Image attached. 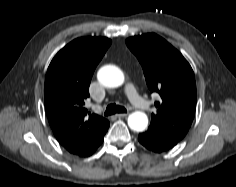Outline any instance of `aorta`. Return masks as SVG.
Instances as JSON below:
<instances>
[{
  "instance_id": "1",
  "label": "aorta",
  "mask_w": 236,
  "mask_h": 187,
  "mask_svg": "<svg viewBox=\"0 0 236 187\" xmlns=\"http://www.w3.org/2000/svg\"><path fill=\"white\" fill-rule=\"evenodd\" d=\"M98 81L105 87L116 88L121 86L125 77L123 72L114 65H105L97 73ZM148 117L144 112L136 111L129 115L128 126L130 129L142 132L147 128Z\"/></svg>"
}]
</instances>
